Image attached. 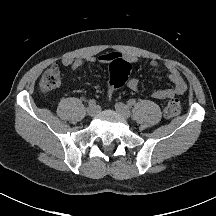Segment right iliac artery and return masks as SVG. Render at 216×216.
<instances>
[{"instance_id":"right-iliac-artery-1","label":"right iliac artery","mask_w":216,"mask_h":216,"mask_svg":"<svg viewBox=\"0 0 216 216\" xmlns=\"http://www.w3.org/2000/svg\"><path fill=\"white\" fill-rule=\"evenodd\" d=\"M96 105V101L94 99L89 101V106H95Z\"/></svg>"}]
</instances>
